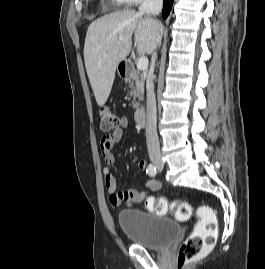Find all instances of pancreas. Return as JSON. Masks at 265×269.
<instances>
[{
	"label": "pancreas",
	"instance_id": "pancreas-1",
	"mask_svg": "<svg viewBox=\"0 0 265 269\" xmlns=\"http://www.w3.org/2000/svg\"><path fill=\"white\" fill-rule=\"evenodd\" d=\"M131 88V95L133 96V108L139 109V101L143 100L144 96V76L139 71L133 70L128 81Z\"/></svg>",
	"mask_w": 265,
	"mask_h": 269
}]
</instances>
